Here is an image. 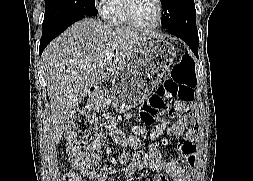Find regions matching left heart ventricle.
<instances>
[{
    "label": "left heart ventricle",
    "mask_w": 253,
    "mask_h": 181,
    "mask_svg": "<svg viewBox=\"0 0 253 181\" xmlns=\"http://www.w3.org/2000/svg\"><path fill=\"white\" fill-rule=\"evenodd\" d=\"M133 13L142 24L150 25L156 21L158 5L156 0H133Z\"/></svg>",
    "instance_id": "obj_1"
}]
</instances>
